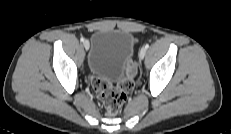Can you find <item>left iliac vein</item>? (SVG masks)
<instances>
[{
  "mask_svg": "<svg viewBox=\"0 0 231 134\" xmlns=\"http://www.w3.org/2000/svg\"><path fill=\"white\" fill-rule=\"evenodd\" d=\"M146 55V48L142 47L141 50L139 51V59L142 60Z\"/></svg>",
  "mask_w": 231,
  "mask_h": 134,
  "instance_id": "obj_1",
  "label": "left iliac vein"
}]
</instances>
